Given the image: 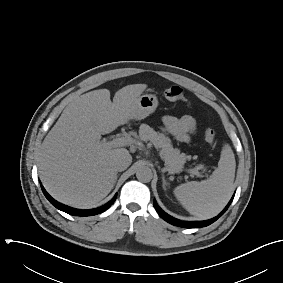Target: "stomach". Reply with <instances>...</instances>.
<instances>
[{
  "label": "stomach",
  "instance_id": "1",
  "mask_svg": "<svg viewBox=\"0 0 283 283\" xmlns=\"http://www.w3.org/2000/svg\"><path fill=\"white\" fill-rule=\"evenodd\" d=\"M158 99L154 94H143L138 97L133 105L132 119L141 120L155 112Z\"/></svg>",
  "mask_w": 283,
  "mask_h": 283
}]
</instances>
